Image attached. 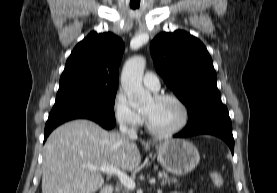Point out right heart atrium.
I'll list each match as a JSON object with an SVG mask.
<instances>
[{
  "label": "right heart atrium",
  "mask_w": 277,
  "mask_h": 193,
  "mask_svg": "<svg viewBox=\"0 0 277 193\" xmlns=\"http://www.w3.org/2000/svg\"><path fill=\"white\" fill-rule=\"evenodd\" d=\"M112 108L115 120L121 126L134 129L138 128L143 123L142 114L129 104L122 91H118L115 94Z\"/></svg>",
  "instance_id": "d8ad5b80"
}]
</instances>
